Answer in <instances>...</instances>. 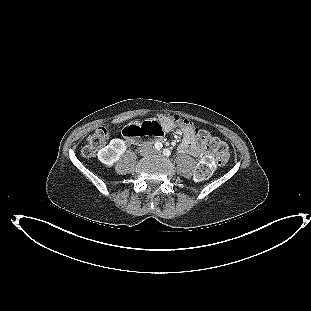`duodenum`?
Segmentation results:
<instances>
[{
    "instance_id": "obj_1",
    "label": "duodenum",
    "mask_w": 311,
    "mask_h": 311,
    "mask_svg": "<svg viewBox=\"0 0 311 311\" xmlns=\"http://www.w3.org/2000/svg\"><path fill=\"white\" fill-rule=\"evenodd\" d=\"M127 139L133 143H139L141 141V138L143 135L140 134V132H129L127 133ZM149 137H152L151 135H148Z\"/></svg>"
}]
</instances>
